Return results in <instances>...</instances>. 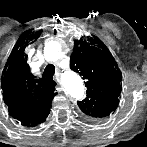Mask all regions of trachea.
<instances>
[{"label":"trachea","instance_id":"trachea-1","mask_svg":"<svg viewBox=\"0 0 147 147\" xmlns=\"http://www.w3.org/2000/svg\"><path fill=\"white\" fill-rule=\"evenodd\" d=\"M54 72H55V68L52 65H48L44 71L45 79L51 80L53 78Z\"/></svg>","mask_w":147,"mask_h":147}]
</instances>
